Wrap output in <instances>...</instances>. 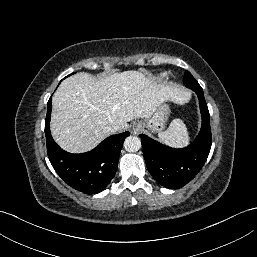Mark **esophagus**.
<instances>
[{"instance_id": "esophagus-1", "label": "esophagus", "mask_w": 257, "mask_h": 257, "mask_svg": "<svg viewBox=\"0 0 257 257\" xmlns=\"http://www.w3.org/2000/svg\"><path fill=\"white\" fill-rule=\"evenodd\" d=\"M141 130V126L139 124H134L131 128L132 134L136 135Z\"/></svg>"}]
</instances>
